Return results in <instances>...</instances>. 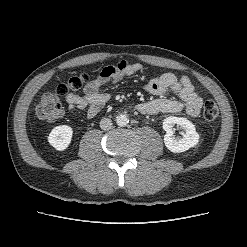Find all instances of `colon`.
I'll return each mask as SVG.
<instances>
[{"instance_id": "colon-1", "label": "colon", "mask_w": 247, "mask_h": 247, "mask_svg": "<svg viewBox=\"0 0 247 247\" xmlns=\"http://www.w3.org/2000/svg\"><path fill=\"white\" fill-rule=\"evenodd\" d=\"M88 81L89 76L81 74L70 78L67 83L59 85L57 90L43 94L36 108L37 116L45 121H53L60 117L63 112L60 95L79 91ZM218 115L219 110L216 103L207 100L203 106V117L208 121H213Z\"/></svg>"}]
</instances>
